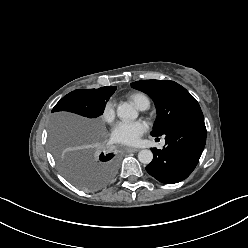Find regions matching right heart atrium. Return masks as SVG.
<instances>
[{"label": "right heart atrium", "mask_w": 248, "mask_h": 248, "mask_svg": "<svg viewBox=\"0 0 248 248\" xmlns=\"http://www.w3.org/2000/svg\"><path fill=\"white\" fill-rule=\"evenodd\" d=\"M102 119L106 123H112L115 119V105L112 101H107L102 109Z\"/></svg>", "instance_id": "1"}]
</instances>
